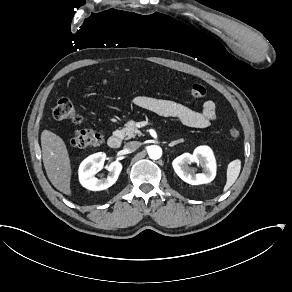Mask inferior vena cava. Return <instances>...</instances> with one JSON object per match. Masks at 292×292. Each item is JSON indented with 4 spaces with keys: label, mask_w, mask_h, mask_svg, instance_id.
<instances>
[{
    "label": "inferior vena cava",
    "mask_w": 292,
    "mask_h": 292,
    "mask_svg": "<svg viewBox=\"0 0 292 292\" xmlns=\"http://www.w3.org/2000/svg\"><path fill=\"white\" fill-rule=\"evenodd\" d=\"M140 146H141V143L140 142H138V141H131V142H128L125 145V149L128 150L129 152H134L138 148H140Z\"/></svg>",
    "instance_id": "1"
}]
</instances>
